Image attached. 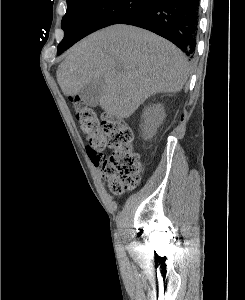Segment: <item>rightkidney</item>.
<instances>
[{
  "label": "right kidney",
  "instance_id": "1",
  "mask_svg": "<svg viewBox=\"0 0 245 300\" xmlns=\"http://www.w3.org/2000/svg\"><path fill=\"white\" fill-rule=\"evenodd\" d=\"M142 118L144 119V125H142L143 137L146 139L152 138L165 118L164 107L160 104L150 106L144 111Z\"/></svg>",
  "mask_w": 245,
  "mask_h": 300
}]
</instances>
